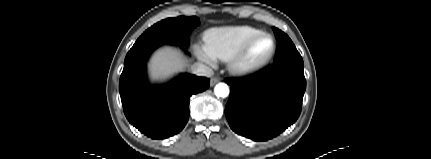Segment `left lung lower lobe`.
Segmentation results:
<instances>
[{
  "label": "left lung lower lobe",
  "mask_w": 431,
  "mask_h": 159,
  "mask_svg": "<svg viewBox=\"0 0 431 159\" xmlns=\"http://www.w3.org/2000/svg\"><path fill=\"white\" fill-rule=\"evenodd\" d=\"M303 61L285 60L256 74L226 79L225 114L231 129L253 141L272 139L298 119L306 80Z\"/></svg>",
  "instance_id": "obj_1"
}]
</instances>
